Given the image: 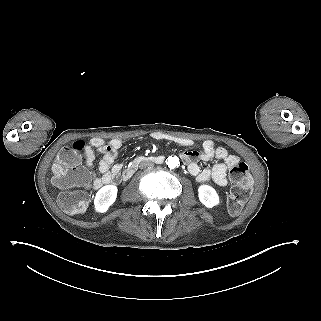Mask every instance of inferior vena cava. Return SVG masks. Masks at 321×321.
I'll list each match as a JSON object with an SVG mask.
<instances>
[{"label": "inferior vena cava", "instance_id": "602c4592", "mask_svg": "<svg viewBox=\"0 0 321 321\" xmlns=\"http://www.w3.org/2000/svg\"><path fill=\"white\" fill-rule=\"evenodd\" d=\"M153 166H154V163L152 161H149V160L141 161L140 164H139V168L140 169H144V168H147V167H153Z\"/></svg>", "mask_w": 321, "mask_h": 321}]
</instances>
